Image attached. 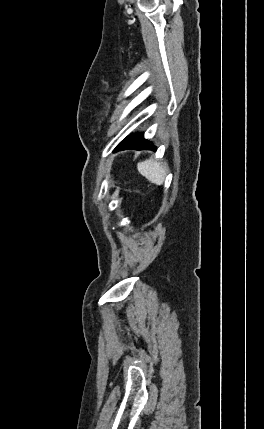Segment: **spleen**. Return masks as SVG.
<instances>
[{
    "label": "spleen",
    "instance_id": "3e777b00",
    "mask_svg": "<svg viewBox=\"0 0 264 429\" xmlns=\"http://www.w3.org/2000/svg\"><path fill=\"white\" fill-rule=\"evenodd\" d=\"M137 169L150 182L159 186L163 184L167 173V167L163 163L152 159L139 162Z\"/></svg>",
    "mask_w": 264,
    "mask_h": 429
}]
</instances>
